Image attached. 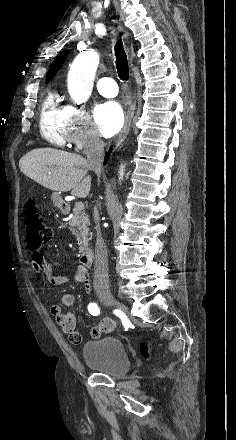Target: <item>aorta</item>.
<instances>
[{"mask_svg":"<svg viewBox=\"0 0 236 440\" xmlns=\"http://www.w3.org/2000/svg\"><path fill=\"white\" fill-rule=\"evenodd\" d=\"M99 56L94 51L80 53L73 61L68 73V92L76 104L85 103L91 95ZM121 166L120 178L123 176Z\"/></svg>","mask_w":236,"mask_h":440,"instance_id":"aorta-1","label":"aorta"}]
</instances>
